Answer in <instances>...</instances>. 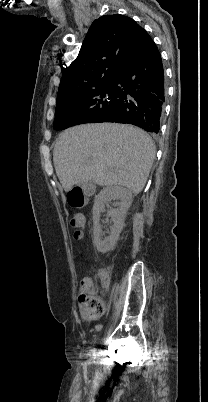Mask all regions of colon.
Listing matches in <instances>:
<instances>
[{
	"instance_id": "5ec220e1",
	"label": "colon",
	"mask_w": 208,
	"mask_h": 402,
	"mask_svg": "<svg viewBox=\"0 0 208 402\" xmlns=\"http://www.w3.org/2000/svg\"><path fill=\"white\" fill-rule=\"evenodd\" d=\"M70 227L75 230L72 233L74 239L83 238L84 221L80 214L73 215L69 220ZM98 278L84 277L80 283L81 292L79 298V314H104L105 307L102 305V299H98ZM101 285L107 284L106 278L100 279Z\"/></svg>"
}]
</instances>
